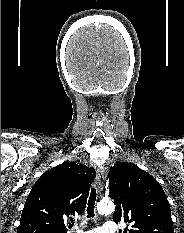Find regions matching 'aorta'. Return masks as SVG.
<instances>
[{
  "mask_svg": "<svg viewBox=\"0 0 184 233\" xmlns=\"http://www.w3.org/2000/svg\"><path fill=\"white\" fill-rule=\"evenodd\" d=\"M97 209L99 214H110L114 210V204L110 201H101L98 203Z\"/></svg>",
  "mask_w": 184,
  "mask_h": 233,
  "instance_id": "1",
  "label": "aorta"
}]
</instances>
